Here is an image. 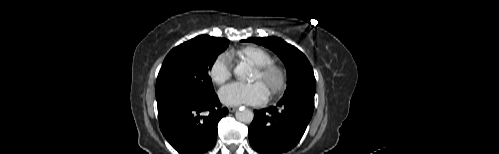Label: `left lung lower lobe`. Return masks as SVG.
I'll return each mask as SVG.
<instances>
[{
    "label": "left lung lower lobe",
    "mask_w": 499,
    "mask_h": 154,
    "mask_svg": "<svg viewBox=\"0 0 499 154\" xmlns=\"http://www.w3.org/2000/svg\"><path fill=\"white\" fill-rule=\"evenodd\" d=\"M314 94L297 92L283 97L276 106L254 111L249 141L261 154L291 150L300 141L314 110Z\"/></svg>",
    "instance_id": "0a47b994"
}]
</instances>
